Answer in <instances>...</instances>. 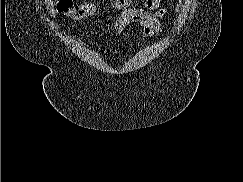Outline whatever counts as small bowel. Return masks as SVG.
I'll use <instances>...</instances> for the list:
<instances>
[{
    "instance_id": "obj_1",
    "label": "small bowel",
    "mask_w": 243,
    "mask_h": 182,
    "mask_svg": "<svg viewBox=\"0 0 243 182\" xmlns=\"http://www.w3.org/2000/svg\"><path fill=\"white\" fill-rule=\"evenodd\" d=\"M165 13L161 0H143L142 6L126 9L106 29L121 35L129 25L137 23L143 28V36L151 37L161 31V18Z\"/></svg>"
}]
</instances>
